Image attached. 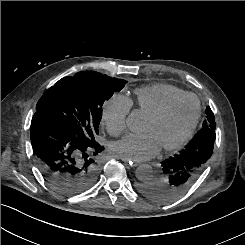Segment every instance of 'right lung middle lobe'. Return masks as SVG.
<instances>
[{
  "label": "right lung middle lobe",
  "mask_w": 245,
  "mask_h": 245,
  "mask_svg": "<svg viewBox=\"0 0 245 245\" xmlns=\"http://www.w3.org/2000/svg\"><path fill=\"white\" fill-rule=\"evenodd\" d=\"M126 83L94 71L78 72L50 87L38 101L36 111L64 124L85 141L95 140L104 102Z\"/></svg>",
  "instance_id": "1"
}]
</instances>
